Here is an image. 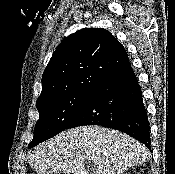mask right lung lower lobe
I'll list each match as a JSON object with an SVG mask.
<instances>
[{"mask_svg":"<svg viewBox=\"0 0 175 174\" xmlns=\"http://www.w3.org/2000/svg\"><path fill=\"white\" fill-rule=\"evenodd\" d=\"M82 125L122 131L150 149L147 111L130 62L109 73L93 87L67 129Z\"/></svg>","mask_w":175,"mask_h":174,"instance_id":"98d812e1","label":"right lung lower lobe"}]
</instances>
